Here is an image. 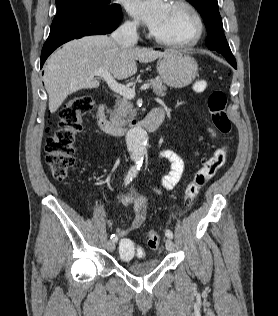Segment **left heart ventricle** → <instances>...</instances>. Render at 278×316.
<instances>
[{
	"label": "left heart ventricle",
	"instance_id": "obj_1",
	"mask_svg": "<svg viewBox=\"0 0 278 316\" xmlns=\"http://www.w3.org/2000/svg\"><path fill=\"white\" fill-rule=\"evenodd\" d=\"M153 33L167 40H186L194 33V22L185 10L169 4L168 11L163 21Z\"/></svg>",
	"mask_w": 278,
	"mask_h": 316
}]
</instances>
